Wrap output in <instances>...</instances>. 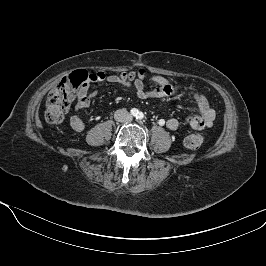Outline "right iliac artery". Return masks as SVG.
<instances>
[{"mask_svg": "<svg viewBox=\"0 0 266 266\" xmlns=\"http://www.w3.org/2000/svg\"><path fill=\"white\" fill-rule=\"evenodd\" d=\"M131 115H133V116H137V115H138V110L135 109V108H133V109L131 110Z\"/></svg>", "mask_w": 266, "mask_h": 266, "instance_id": "82829eb1", "label": "right iliac artery"}]
</instances>
